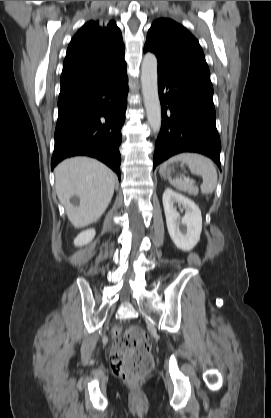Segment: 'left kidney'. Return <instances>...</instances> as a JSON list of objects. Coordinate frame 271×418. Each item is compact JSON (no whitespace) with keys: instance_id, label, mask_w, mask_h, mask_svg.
I'll list each match as a JSON object with an SVG mask.
<instances>
[{"instance_id":"left-kidney-1","label":"left kidney","mask_w":271,"mask_h":418,"mask_svg":"<svg viewBox=\"0 0 271 418\" xmlns=\"http://www.w3.org/2000/svg\"><path fill=\"white\" fill-rule=\"evenodd\" d=\"M175 203L186 210L182 218L174 207ZM163 206L168 232L174 244L183 251L193 249L199 242L202 231V216L199 207L191 199L170 188L163 193Z\"/></svg>"}]
</instances>
